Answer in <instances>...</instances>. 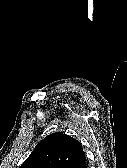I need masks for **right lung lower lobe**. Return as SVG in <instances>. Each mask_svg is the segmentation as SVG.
Returning <instances> with one entry per match:
<instances>
[{"label":"right lung lower lobe","instance_id":"right-lung-lower-lobe-1","mask_svg":"<svg viewBox=\"0 0 127 168\" xmlns=\"http://www.w3.org/2000/svg\"><path fill=\"white\" fill-rule=\"evenodd\" d=\"M79 168H87L86 163L82 164Z\"/></svg>","mask_w":127,"mask_h":168}]
</instances>
